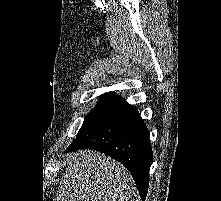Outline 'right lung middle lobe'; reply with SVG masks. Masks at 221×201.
<instances>
[{
  "label": "right lung middle lobe",
  "mask_w": 221,
  "mask_h": 201,
  "mask_svg": "<svg viewBox=\"0 0 221 201\" xmlns=\"http://www.w3.org/2000/svg\"><path fill=\"white\" fill-rule=\"evenodd\" d=\"M113 97V93H109L107 95H103L100 99L99 103L93 108L88 115L85 117L83 125H86V123ZM81 127V128H82Z\"/></svg>",
  "instance_id": "dd1d6c3e"
}]
</instances>
